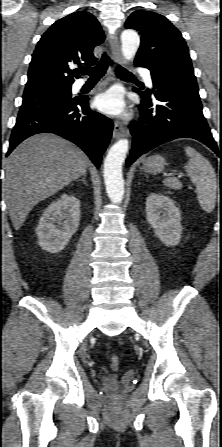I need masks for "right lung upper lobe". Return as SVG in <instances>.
Wrapping results in <instances>:
<instances>
[{
  "instance_id": "right-lung-upper-lobe-1",
  "label": "right lung upper lobe",
  "mask_w": 222,
  "mask_h": 447,
  "mask_svg": "<svg viewBox=\"0 0 222 447\" xmlns=\"http://www.w3.org/2000/svg\"><path fill=\"white\" fill-rule=\"evenodd\" d=\"M97 19L78 11L56 21L41 37L32 55L24 94L71 88L80 75L70 64L94 65L95 46L104 41Z\"/></svg>"
}]
</instances>
